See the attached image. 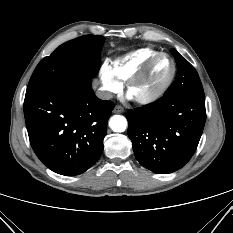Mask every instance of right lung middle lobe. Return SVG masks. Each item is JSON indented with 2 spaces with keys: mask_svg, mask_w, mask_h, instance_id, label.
I'll use <instances>...</instances> for the list:
<instances>
[{
  "mask_svg": "<svg viewBox=\"0 0 233 233\" xmlns=\"http://www.w3.org/2000/svg\"><path fill=\"white\" fill-rule=\"evenodd\" d=\"M104 37L85 35L60 45L35 68L25 97L39 94L68 80L92 78L99 70L98 52Z\"/></svg>",
  "mask_w": 233,
  "mask_h": 233,
  "instance_id": "1",
  "label": "right lung middle lobe"
}]
</instances>
